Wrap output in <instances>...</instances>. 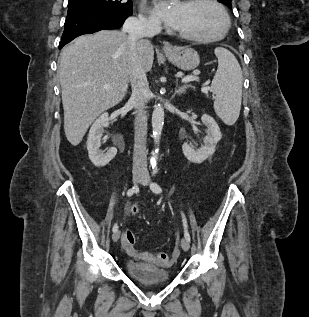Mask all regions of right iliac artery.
<instances>
[{
	"instance_id": "obj_1",
	"label": "right iliac artery",
	"mask_w": 309,
	"mask_h": 317,
	"mask_svg": "<svg viewBox=\"0 0 309 317\" xmlns=\"http://www.w3.org/2000/svg\"><path fill=\"white\" fill-rule=\"evenodd\" d=\"M138 188L137 187H132L127 191V196L130 197L132 196L135 192H137ZM113 232H116L118 230V225L114 224L112 228Z\"/></svg>"
}]
</instances>
